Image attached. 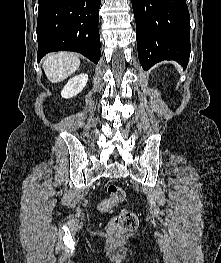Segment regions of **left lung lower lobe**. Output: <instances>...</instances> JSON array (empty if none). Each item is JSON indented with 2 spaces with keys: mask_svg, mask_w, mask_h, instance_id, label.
Returning a JSON list of instances; mask_svg holds the SVG:
<instances>
[{
  "mask_svg": "<svg viewBox=\"0 0 221 263\" xmlns=\"http://www.w3.org/2000/svg\"><path fill=\"white\" fill-rule=\"evenodd\" d=\"M138 57L148 70L162 60L189 61L190 15L185 0H131Z\"/></svg>",
  "mask_w": 221,
  "mask_h": 263,
  "instance_id": "obj_1",
  "label": "left lung lower lobe"
}]
</instances>
